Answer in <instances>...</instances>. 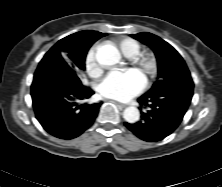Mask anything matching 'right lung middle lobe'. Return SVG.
I'll list each match as a JSON object with an SVG mask.
<instances>
[{"label":"right lung middle lobe","mask_w":222,"mask_h":187,"mask_svg":"<svg viewBox=\"0 0 222 187\" xmlns=\"http://www.w3.org/2000/svg\"><path fill=\"white\" fill-rule=\"evenodd\" d=\"M92 44L93 41L78 39L61 46L58 50L50 49L45 56L49 58H62L76 73V71L85 70L86 54Z\"/></svg>","instance_id":"1"}]
</instances>
